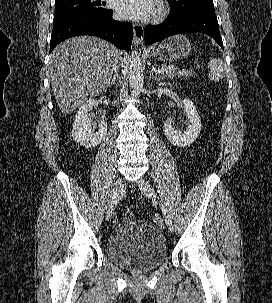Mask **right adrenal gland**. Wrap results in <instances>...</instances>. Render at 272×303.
<instances>
[{"label":"right adrenal gland","instance_id":"right-adrenal-gland-1","mask_svg":"<svg viewBox=\"0 0 272 303\" xmlns=\"http://www.w3.org/2000/svg\"><path fill=\"white\" fill-rule=\"evenodd\" d=\"M118 78H119V75H118V73L116 71V73L114 74V76L112 78V81L109 83L108 87L114 85L116 83V81L118 80Z\"/></svg>","mask_w":272,"mask_h":303}]
</instances>
